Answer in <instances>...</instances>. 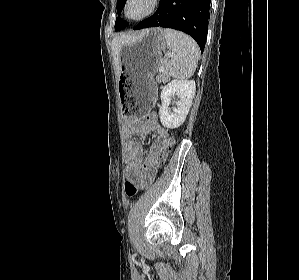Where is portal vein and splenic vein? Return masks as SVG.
Listing matches in <instances>:
<instances>
[{
	"mask_svg": "<svg viewBox=\"0 0 299 280\" xmlns=\"http://www.w3.org/2000/svg\"><path fill=\"white\" fill-rule=\"evenodd\" d=\"M169 56L171 55V54H168ZM165 69H164V66H161L160 68H159V72H163Z\"/></svg>",
	"mask_w": 299,
	"mask_h": 280,
	"instance_id": "portal-vein-and-splenic-vein-1",
	"label": "portal vein and splenic vein"
}]
</instances>
